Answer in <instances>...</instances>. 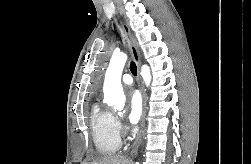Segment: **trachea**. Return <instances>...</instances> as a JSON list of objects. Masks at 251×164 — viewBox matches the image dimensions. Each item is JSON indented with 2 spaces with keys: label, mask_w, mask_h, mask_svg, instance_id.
<instances>
[{
  "label": "trachea",
  "mask_w": 251,
  "mask_h": 164,
  "mask_svg": "<svg viewBox=\"0 0 251 164\" xmlns=\"http://www.w3.org/2000/svg\"><path fill=\"white\" fill-rule=\"evenodd\" d=\"M130 70H131V73L136 76L137 75V66L134 62H131L130 64Z\"/></svg>",
  "instance_id": "1"
}]
</instances>
